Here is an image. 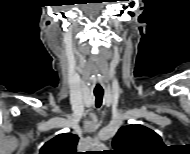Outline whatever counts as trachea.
Returning <instances> with one entry per match:
<instances>
[{
  "mask_svg": "<svg viewBox=\"0 0 190 154\" xmlns=\"http://www.w3.org/2000/svg\"><path fill=\"white\" fill-rule=\"evenodd\" d=\"M95 95V105L99 108L102 105L103 91H94Z\"/></svg>",
  "mask_w": 190,
  "mask_h": 154,
  "instance_id": "3493384b",
  "label": "trachea"
}]
</instances>
